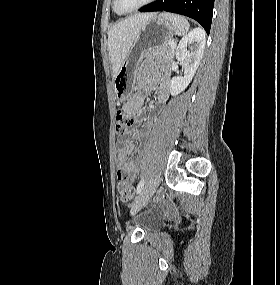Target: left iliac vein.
I'll return each instance as SVG.
<instances>
[{"label": "left iliac vein", "instance_id": "4c4485c4", "mask_svg": "<svg viewBox=\"0 0 280 285\" xmlns=\"http://www.w3.org/2000/svg\"><path fill=\"white\" fill-rule=\"evenodd\" d=\"M159 182H160L159 174H155L154 176L150 178V180L147 182L143 190L140 192L136 201L133 203L132 208H131V214L133 215L136 214L147 204L149 199L152 197V195L156 191L159 185Z\"/></svg>", "mask_w": 280, "mask_h": 285}]
</instances>
